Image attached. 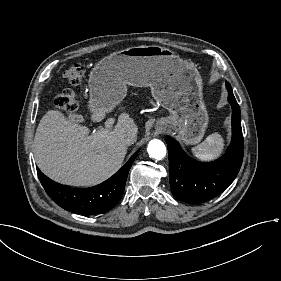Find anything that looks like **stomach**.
Segmentation results:
<instances>
[{
  "instance_id": "stomach-1",
  "label": "stomach",
  "mask_w": 281,
  "mask_h": 281,
  "mask_svg": "<svg viewBox=\"0 0 281 281\" xmlns=\"http://www.w3.org/2000/svg\"><path fill=\"white\" fill-rule=\"evenodd\" d=\"M127 85L150 87L154 100L169 111L158 128L176 133L185 145L202 141L209 114L203 99L202 76L191 61L157 45L113 52L103 57L89 74V110H113L125 99Z\"/></svg>"
}]
</instances>
